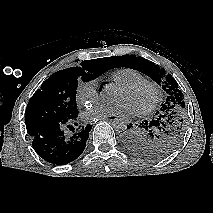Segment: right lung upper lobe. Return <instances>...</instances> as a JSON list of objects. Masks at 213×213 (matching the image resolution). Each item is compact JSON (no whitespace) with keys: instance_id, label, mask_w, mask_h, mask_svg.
<instances>
[{"instance_id":"cb5924a9","label":"right lung upper lobe","mask_w":213,"mask_h":213,"mask_svg":"<svg viewBox=\"0 0 213 213\" xmlns=\"http://www.w3.org/2000/svg\"><path fill=\"white\" fill-rule=\"evenodd\" d=\"M107 60H108V58H101V59H98V61H101V62H103V63H105V64H108Z\"/></svg>"}]
</instances>
